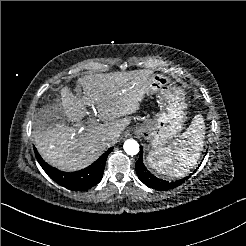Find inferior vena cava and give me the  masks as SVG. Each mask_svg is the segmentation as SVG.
I'll return each mask as SVG.
<instances>
[{
  "label": "inferior vena cava",
  "instance_id": "602c4592",
  "mask_svg": "<svg viewBox=\"0 0 246 246\" xmlns=\"http://www.w3.org/2000/svg\"><path fill=\"white\" fill-rule=\"evenodd\" d=\"M113 136H114V133H110V134H108V135L106 136V139H112Z\"/></svg>",
  "mask_w": 246,
  "mask_h": 246
}]
</instances>
